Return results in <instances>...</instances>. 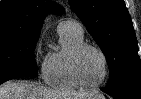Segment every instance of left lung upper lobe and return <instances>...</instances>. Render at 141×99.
I'll list each match as a JSON object with an SVG mask.
<instances>
[{"label": "left lung upper lobe", "instance_id": "left-lung-upper-lobe-1", "mask_svg": "<svg viewBox=\"0 0 141 99\" xmlns=\"http://www.w3.org/2000/svg\"><path fill=\"white\" fill-rule=\"evenodd\" d=\"M69 3L107 59L110 69L107 88L141 86L137 39L124 0H69Z\"/></svg>", "mask_w": 141, "mask_h": 99}]
</instances>
